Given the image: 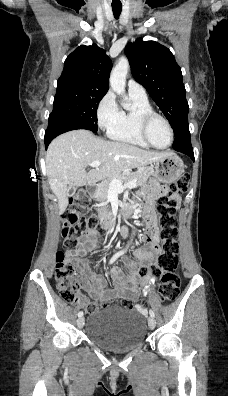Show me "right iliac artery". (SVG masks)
I'll return each mask as SVG.
<instances>
[{
    "mask_svg": "<svg viewBox=\"0 0 228 396\" xmlns=\"http://www.w3.org/2000/svg\"><path fill=\"white\" fill-rule=\"evenodd\" d=\"M120 255H122L121 252H117L116 254H114V255L112 256V258L110 259L109 264H112L113 262H115V261L117 260V258H118ZM82 316H83V312L80 311V312L78 313V317H82Z\"/></svg>",
    "mask_w": 228,
    "mask_h": 396,
    "instance_id": "1",
    "label": "right iliac artery"
}]
</instances>
